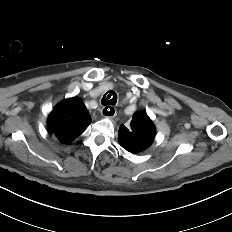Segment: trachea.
I'll return each instance as SVG.
<instances>
[{
    "label": "trachea",
    "mask_w": 232,
    "mask_h": 232,
    "mask_svg": "<svg viewBox=\"0 0 232 232\" xmlns=\"http://www.w3.org/2000/svg\"><path fill=\"white\" fill-rule=\"evenodd\" d=\"M117 102V95L114 91H108L102 98V105H115Z\"/></svg>",
    "instance_id": "obj_1"
}]
</instances>
